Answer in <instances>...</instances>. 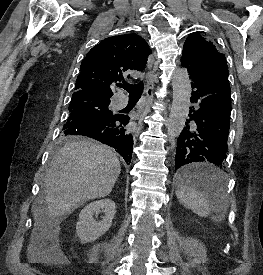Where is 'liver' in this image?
I'll return each mask as SVG.
<instances>
[{
    "instance_id": "1",
    "label": "liver",
    "mask_w": 263,
    "mask_h": 275,
    "mask_svg": "<svg viewBox=\"0 0 263 275\" xmlns=\"http://www.w3.org/2000/svg\"><path fill=\"white\" fill-rule=\"evenodd\" d=\"M120 172L110 148L86 140L66 144L46 171L44 198L32 206L37 226L58 228L81 203L110 194Z\"/></svg>"
}]
</instances>
